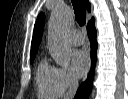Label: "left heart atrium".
<instances>
[{"instance_id":"1","label":"left heart atrium","mask_w":128,"mask_h":99,"mask_svg":"<svg viewBox=\"0 0 128 99\" xmlns=\"http://www.w3.org/2000/svg\"><path fill=\"white\" fill-rule=\"evenodd\" d=\"M72 66L78 76H82L88 69L89 56L85 50H78L74 52L72 57Z\"/></svg>"}]
</instances>
